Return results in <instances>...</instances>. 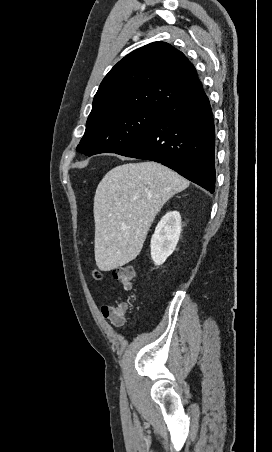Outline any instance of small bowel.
Here are the masks:
<instances>
[{"instance_id":"c3829d8e","label":"small bowel","mask_w":272,"mask_h":452,"mask_svg":"<svg viewBox=\"0 0 272 452\" xmlns=\"http://www.w3.org/2000/svg\"><path fill=\"white\" fill-rule=\"evenodd\" d=\"M108 305L109 304H104L101 308V312H102L103 316L105 318L109 319L110 322L112 323V325L115 327H121L122 325H124V323L126 321V314L117 315L115 313L108 312V310H107Z\"/></svg>"}]
</instances>
